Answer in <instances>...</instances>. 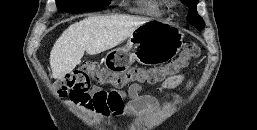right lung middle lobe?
Listing matches in <instances>:
<instances>
[{"label":"right lung middle lobe","mask_w":257,"mask_h":130,"mask_svg":"<svg viewBox=\"0 0 257 130\" xmlns=\"http://www.w3.org/2000/svg\"><path fill=\"white\" fill-rule=\"evenodd\" d=\"M109 1L110 0H56V5L62 11L79 13L97 10Z\"/></svg>","instance_id":"1"}]
</instances>
